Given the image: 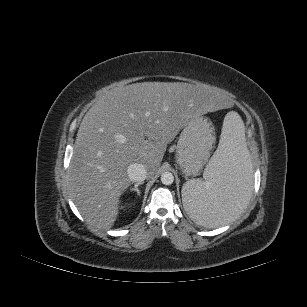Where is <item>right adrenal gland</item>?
Instances as JSON below:
<instances>
[{
	"instance_id": "1",
	"label": "right adrenal gland",
	"mask_w": 307,
	"mask_h": 307,
	"mask_svg": "<svg viewBox=\"0 0 307 307\" xmlns=\"http://www.w3.org/2000/svg\"><path fill=\"white\" fill-rule=\"evenodd\" d=\"M143 184L142 182L136 183L133 187L130 188V191L133 192L135 191L138 196H140V190L138 189V186Z\"/></svg>"
}]
</instances>
